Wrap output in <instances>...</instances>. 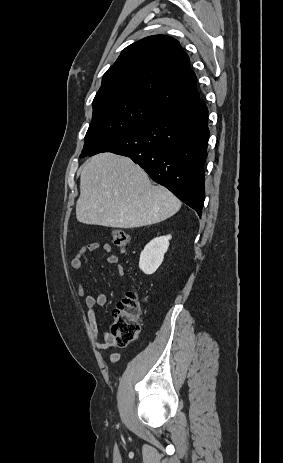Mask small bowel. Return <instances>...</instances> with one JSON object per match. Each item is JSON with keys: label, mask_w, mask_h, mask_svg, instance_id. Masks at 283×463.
<instances>
[{"label": "small bowel", "mask_w": 283, "mask_h": 463, "mask_svg": "<svg viewBox=\"0 0 283 463\" xmlns=\"http://www.w3.org/2000/svg\"><path fill=\"white\" fill-rule=\"evenodd\" d=\"M102 249L107 253V263L115 266L116 271L119 275L124 274V268L119 264L118 256L112 253V247L109 243L100 244L95 240L86 242L77 252L76 256L71 260V267L75 270H78L82 267L83 264L88 263L87 253L90 251H96ZM77 291L80 297L85 298L87 305V317L89 322V328L92 335V338L99 349H108L115 345L113 336L109 332H105L104 341H99L98 339V312L97 308L103 306L106 303V294L99 293L95 296L92 293L85 292V288L82 283H77ZM121 355L119 353H113L111 355V361L116 363L120 361Z\"/></svg>", "instance_id": "1"}]
</instances>
